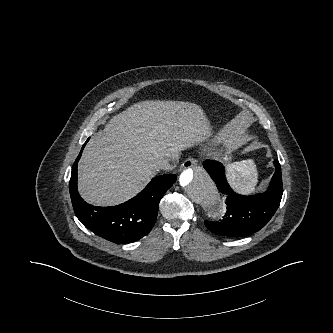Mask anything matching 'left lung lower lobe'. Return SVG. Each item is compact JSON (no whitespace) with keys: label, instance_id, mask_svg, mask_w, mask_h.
Listing matches in <instances>:
<instances>
[{"label":"left lung lower lobe","instance_id":"left-lung-lower-lobe-1","mask_svg":"<svg viewBox=\"0 0 333 333\" xmlns=\"http://www.w3.org/2000/svg\"><path fill=\"white\" fill-rule=\"evenodd\" d=\"M274 165L276 171L266 192L242 196L229 187L221 163L206 161L204 168L219 191L228 197L225 217L220 222L205 221V226L215 234L229 237L247 236L263 228L276 212L283 194L281 166L277 160Z\"/></svg>","mask_w":333,"mask_h":333}]
</instances>
